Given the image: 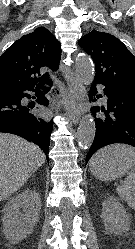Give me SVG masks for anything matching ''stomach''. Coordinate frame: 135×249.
Here are the masks:
<instances>
[{
	"label": "stomach",
	"mask_w": 135,
	"mask_h": 249,
	"mask_svg": "<svg viewBox=\"0 0 135 249\" xmlns=\"http://www.w3.org/2000/svg\"><path fill=\"white\" fill-rule=\"evenodd\" d=\"M130 167L127 160L110 156L95 161L90 170L96 178L109 181L125 175Z\"/></svg>",
	"instance_id": "0dacf381"
}]
</instances>
